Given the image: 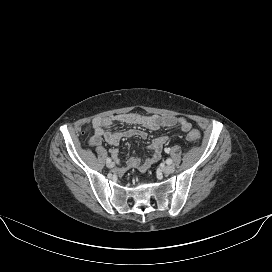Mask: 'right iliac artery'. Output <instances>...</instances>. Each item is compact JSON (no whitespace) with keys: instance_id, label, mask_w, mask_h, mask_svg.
Instances as JSON below:
<instances>
[{"instance_id":"obj_1","label":"right iliac artery","mask_w":272,"mask_h":272,"mask_svg":"<svg viewBox=\"0 0 272 272\" xmlns=\"http://www.w3.org/2000/svg\"><path fill=\"white\" fill-rule=\"evenodd\" d=\"M106 162H107V163L111 162V159H110V158H107V159H106Z\"/></svg>"}]
</instances>
